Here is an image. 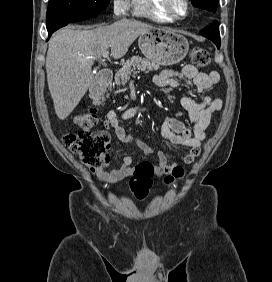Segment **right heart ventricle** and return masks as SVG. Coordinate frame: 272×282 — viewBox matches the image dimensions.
<instances>
[{"label":"right heart ventricle","mask_w":272,"mask_h":282,"mask_svg":"<svg viewBox=\"0 0 272 282\" xmlns=\"http://www.w3.org/2000/svg\"><path fill=\"white\" fill-rule=\"evenodd\" d=\"M161 0H133V14L135 16L147 17L156 22H173L171 18L160 6Z\"/></svg>","instance_id":"obj_1"}]
</instances>
